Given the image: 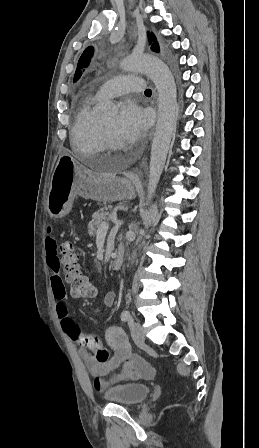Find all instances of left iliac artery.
<instances>
[{
    "mask_svg": "<svg viewBox=\"0 0 259 448\" xmlns=\"http://www.w3.org/2000/svg\"><path fill=\"white\" fill-rule=\"evenodd\" d=\"M121 320H122V321H128L129 324H132V323H133V318H132V316H131V314H130V312H129L128 310H124V311L122 312V314H121Z\"/></svg>",
    "mask_w": 259,
    "mask_h": 448,
    "instance_id": "1",
    "label": "left iliac artery"
}]
</instances>
